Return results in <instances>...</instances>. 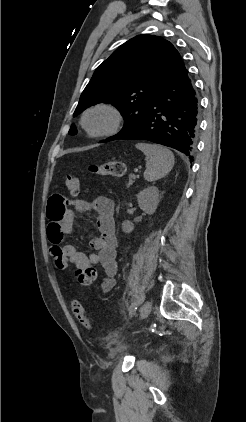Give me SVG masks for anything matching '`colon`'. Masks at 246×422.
Returning a JSON list of instances; mask_svg holds the SVG:
<instances>
[{
  "instance_id": "5ec220e1",
  "label": "colon",
  "mask_w": 246,
  "mask_h": 422,
  "mask_svg": "<svg viewBox=\"0 0 246 422\" xmlns=\"http://www.w3.org/2000/svg\"><path fill=\"white\" fill-rule=\"evenodd\" d=\"M88 170L92 174L102 175V176H114V177H123L126 173V166L124 163L119 161H110L101 165H90ZM65 187L69 193L73 196L78 195L79 193V181L78 178L73 175H67L65 177ZM51 255L53 261L57 268L65 269L69 262L64 256L63 252L58 248L54 247L51 249ZM78 282L82 286H89L93 284L97 277V270L94 265H89L81 270L77 271ZM71 310L76 319L88 330L93 329L92 321L88 317L86 310L83 305L78 300H72Z\"/></svg>"
}]
</instances>
